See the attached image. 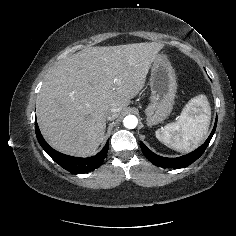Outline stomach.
Listing matches in <instances>:
<instances>
[{
  "label": "stomach",
  "mask_w": 236,
  "mask_h": 236,
  "mask_svg": "<svg viewBox=\"0 0 236 236\" xmlns=\"http://www.w3.org/2000/svg\"><path fill=\"white\" fill-rule=\"evenodd\" d=\"M150 88L151 97L145 114L147 125L154 126L170 115L177 89L175 71L164 54H158L153 61Z\"/></svg>",
  "instance_id": "1"
}]
</instances>
